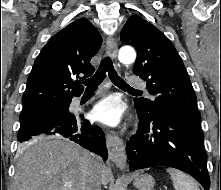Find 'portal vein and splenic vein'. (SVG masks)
Wrapping results in <instances>:
<instances>
[{"label":"portal vein and splenic vein","instance_id":"1","mask_svg":"<svg viewBox=\"0 0 221 190\" xmlns=\"http://www.w3.org/2000/svg\"><path fill=\"white\" fill-rule=\"evenodd\" d=\"M66 186H67V187H71L72 184H71V183H67Z\"/></svg>","mask_w":221,"mask_h":190}]
</instances>
